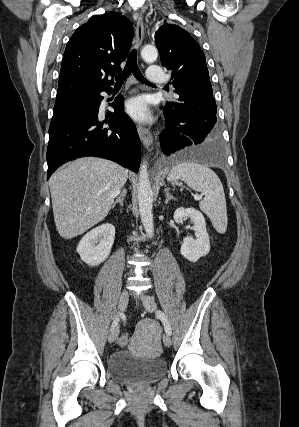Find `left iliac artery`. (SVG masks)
<instances>
[{
	"mask_svg": "<svg viewBox=\"0 0 299 427\" xmlns=\"http://www.w3.org/2000/svg\"><path fill=\"white\" fill-rule=\"evenodd\" d=\"M157 317L162 321L164 328H165V332L168 335H171L172 330H171V326L168 322L166 315L162 311L159 310V311H157Z\"/></svg>",
	"mask_w": 299,
	"mask_h": 427,
	"instance_id": "1",
	"label": "left iliac artery"
}]
</instances>
